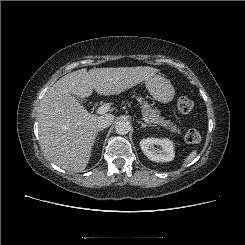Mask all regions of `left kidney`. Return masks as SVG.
Listing matches in <instances>:
<instances>
[{
	"mask_svg": "<svg viewBox=\"0 0 245 245\" xmlns=\"http://www.w3.org/2000/svg\"><path fill=\"white\" fill-rule=\"evenodd\" d=\"M154 145L160 146L157 149ZM140 147L145 156L154 162H170L174 159L173 142L167 138H146L140 141Z\"/></svg>",
	"mask_w": 245,
	"mask_h": 245,
	"instance_id": "5707ae66",
	"label": "left kidney"
}]
</instances>
